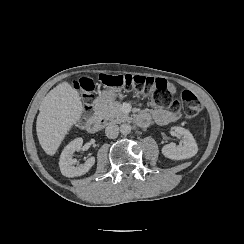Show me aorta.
Listing matches in <instances>:
<instances>
[{
	"label": "aorta",
	"mask_w": 244,
	"mask_h": 244,
	"mask_svg": "<svg viewBox=\"0 0 244 244\" xmlns=\"http://www.w3.org/2000/svg\"><path fill=\"white\" fill-rule=\"evenodd\" d=\"M120 132L123 134V135H128L130 132H131V126L127 123L125 124H122L120 126Z\"/></svg>",
	"instance_id": "obj_1"
}]
</instances>
